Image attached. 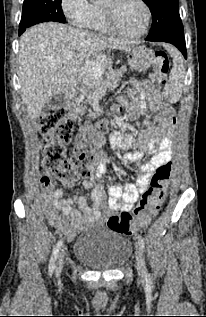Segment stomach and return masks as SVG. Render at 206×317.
<instances>
[{
    "mask_svg": "<svg viewBox=\"0 0 206 317\" xmlns=\"http://www.w3.org/2000/svg\"><path fill=\"white\" fill-rule=\"evenodd\" d=\"M127 55V69L135 70L136 68H143L149 63V58L152 57L153 53L151 49L143 45H132L126 50ZM114 65L113 55H92L91 59H85L83 66L78 68L79 76L75 77V82L78 83V88L82 92V87L99 86L101 79L106 73H111V66ZM92 94V93H89Z\"/></svg>",
    "mask_w": 206,
    "mask_h": 317,
    "instance_id": "1",
    "label": "stomach"
}]
</instances>
